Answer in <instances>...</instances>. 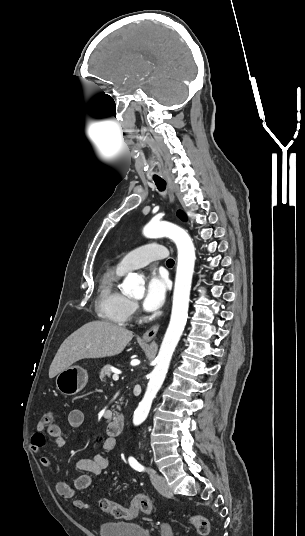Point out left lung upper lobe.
<instances>
[{
	"mask_svg": "<svg viewBox=\"0 0 305 536\" xmlns=\"http://www.w3.org/2000/svg\"><path fill=\"white\" fill-rule=\"evenodd\" d=\"M178 217L181 218L183 221H186V216L182 211H178L177 213Z\"/></svg>",
	"mask_w": 305,
	"mask_h": 536,
	"instance_id": "obj_1",
	"label": "left lung upper lobe"
}]
</instances>
